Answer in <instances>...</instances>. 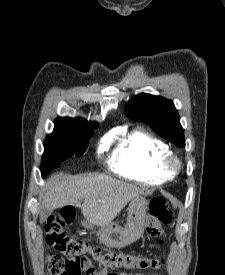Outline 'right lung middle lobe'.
<instances>
[{
	"instance_id": "obj_1",
	"label": "right lung middle lobe",
	"mask_w": 225,
	"mask_h": 275,
	"mask_svg": "<svg viewBox=\"0 0 225 275\" xmlns=\"http://www.w3.org/2000/svg\"><path fill=\"white\" fill-rule=\"evenodd\" d=\"M97 126L55 124L53 133L47 135L42 156V177L71 156H81Z\"/></svg>"
}]
</instances>
